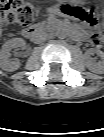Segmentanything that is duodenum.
Masks as SVG:
<instances>
[{"instance_id": "1", "label": "duodenum", "mask_w": 104, "mask_h": 137, "mask_svg": "<svg viewBox=\"0 0 104 137\" xmlns=\"http://www.w3.org/2000/svg\"><path fill=\"white\" fill-rule=\"evenodd\" d=\"M23 33L26 37L32 38V37L36 36L37 29L34 27H29V28L24 29ZM74 36L80 40H87L88 39L87 34H85L82 30L78 31Z\"/></svg>"}]
</instances>
